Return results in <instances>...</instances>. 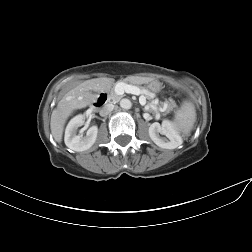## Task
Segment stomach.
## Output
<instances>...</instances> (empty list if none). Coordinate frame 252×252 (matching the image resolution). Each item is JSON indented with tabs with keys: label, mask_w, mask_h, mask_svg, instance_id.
<instances>
[{
	"label": "stomach",
	"mask_w": 252,
	"mask_h": 252,
	"mask_svg": "<svg viewBox=\"0 0 252 252\" xmlns=\"http://www.w3.org/2000/svg\"><path fill=\"white\" fill-rule=\"evenodd\" d=\"M147 88L153 92H159L162 88V84L157 80L147 82Z\"/></svg>",
	"instance_id": "0dacf381"
}]
</instances>
